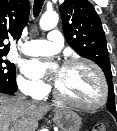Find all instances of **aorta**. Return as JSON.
I'll return each mask as SVG.
<instances>
[{"mask_svg":"<svg viewBox=\"0 0 117 131\" xmlns=\"http://www.w3.org/2000/svg\"><path fill=\"white\" fill-rule=\"evenodd\" d=\"M59 16L56 12H46L40 19V27L43 30H51L58 24Z\"/></svg>","mask_w":117,"mask_h":131,"instance_id":"aorta-1","label":"aorta"}]
</instances>
